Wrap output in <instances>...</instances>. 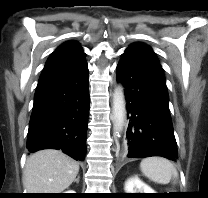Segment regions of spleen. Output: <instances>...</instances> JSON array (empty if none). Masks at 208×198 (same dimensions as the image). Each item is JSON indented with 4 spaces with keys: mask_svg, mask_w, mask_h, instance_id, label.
<instances>
[{
    "mask_svg": "<svg viewBox=\"0 0 208 198\" xmlns=\"http://www.w3.org/2000/svg\"><path fill=\"white\" fill-rule=\"evenodd\" d=\"M140 169L151 181L158 184H168L171 179H177L178 172L175 166L162 157H148L141 161Z\"/></svg>",
    "mask_w": 208,
    "mask_h": 198,
    "instance_id": "3e777b00",
    "label": "spleen"
}]
</instances>
